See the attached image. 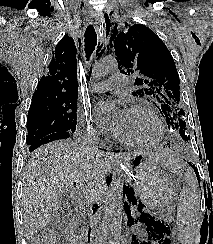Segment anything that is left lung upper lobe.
<instances>
[{
    "mask_svg": "<svg viewBox=\"0 0 213 244\" xmlns=\"http://www.w3.org/2000/svg\"><path fill=\"white\" fill-rule=\"evenodd\" d=\"M114 34L110 47L115 49L118 68L121 73L135 77L132 94L153 97L169 130L188 141L185 112L180 103L179 75L166 45L142 24Z\"/></svg>",
    "mask_w": 213,
    "mask_h": 244,
    "instance_id": "obj_1",
    "label": "left lung upper lobe"
}]
</instances>
